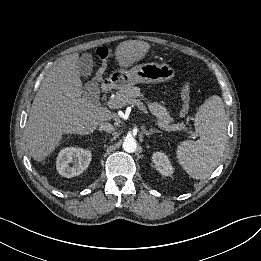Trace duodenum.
Returning <instances> with one entry per match:
<instances>
[{"label": "duodenum", "mask_w": 261, "mask_h": 261, "mask_svg": "<svg viewBox=\"0 0 261 261\" xmlns=\"http://www.w3.org/2000/svg\"><path fill=\"white\" fill-rule=\"evenodd\" d=\"M102 90L104 93H107L109 91V84H108L107 80H104L102 82Z\"/></svg>", "instance_id": "obj_1"}]
</instances>
